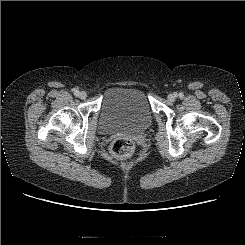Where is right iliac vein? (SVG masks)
<instances>
[{"label": "right iliac vein", "instance_id": "obj_1", "mask_svg": "<svg viewBox=\"0 0 245 245\" xmlns=\"http://www.w3.org/2000/svg\"><path fill=\"white\" fill-rule=\"evenodd\" d=\"M78 96L80 99H86L87 93L85 91H81L79 92Z\"/></svg>", "mask_w": 245, "mask_h": 245}]
</instances>
